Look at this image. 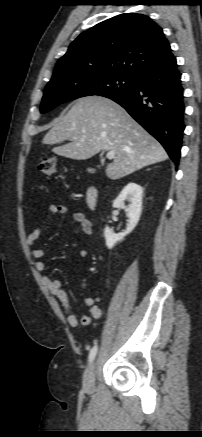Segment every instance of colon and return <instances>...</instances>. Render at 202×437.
<instances>
[{
	"mask_svg": "<svg viewBox=\"0 0 202 437\" xmlns=\"http://www.w3.org/2000/svg\"><path fill=\"white\" fill-rule=\"evenodd\" d=\"M38 171L45 175H53L56 171L55 157L48 156L43 158L38 164Z\"/></svg>",
	"mask_w": 202,
	"mask_h": 437,
	"instance_id": "colon-1",
	"label": "colon"
}]
</instances>
